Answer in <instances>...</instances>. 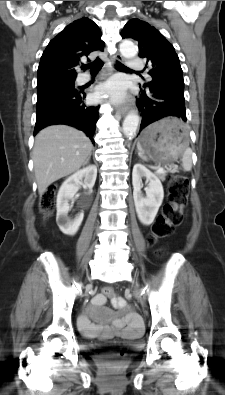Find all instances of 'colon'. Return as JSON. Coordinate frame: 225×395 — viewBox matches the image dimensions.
Here are the masks:
<instances>
[{
  "label": "colon",
  "mask_w": 225,
  "mask_h": 395,
  "mask_svg": "<svg viewBox=\"0 0 225 395\" xmlns=\"http://www.w3.org/2000/svg\"><path fill=\"white\" fill-rule=\"evenodd\" d=\"M168 203L164 206L162 214L155 220L151 228V234L148 238L150 244H154L157 240L169 237L176 226L182 221V206L186 201L188 194V179L181 175H174L168 181ZM56 195V187L51 186L43 194L40 200V209L44 214H49L54 207V199ZM165 251L160 250L159 255H164ZM102 294L109 296L113 289L109 285L102 287ZM121 355V351L111 349L107 352V356L111 360H115Z\"/></svg>",
  "instance_id": "colon-1"
}]
</instances>
